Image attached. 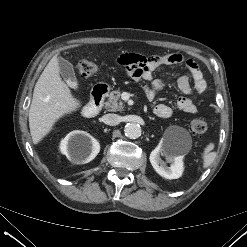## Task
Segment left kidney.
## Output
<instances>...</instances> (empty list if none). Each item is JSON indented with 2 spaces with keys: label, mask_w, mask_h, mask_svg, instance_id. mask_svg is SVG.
I'll list each match as a JSON object with an SVG mask.
<instances>
[{
  "label": "left kidney",
  "mask_w": 247,
  "mask_h": 247,
  "mask_svg": "<svg viewBox=\"0 0 247 247\" xmlns=\"http://www.w3.org/2000/svg\"><path fill=\"white\" fill-rule=\"evenodd\" d=\"M160 155L164 156L170 167L161 159ZM183 155L161 141L159 145L150 154V163L155 171L166 179H177L183 173Z\"/></svg>",
  "instance_id": "obj_1"
}]
</instances>
